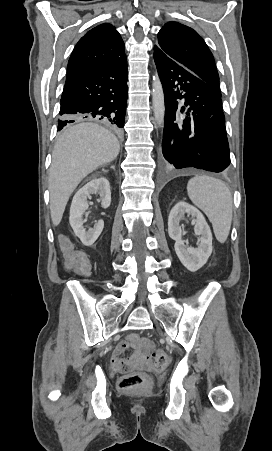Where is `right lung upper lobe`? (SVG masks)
<instances>
[{"mask_svg":"<svg viewBox=\"0 0 272 451\" xmlns=\"http://www.w3.org/2000/svg\"><path fill=\"white\" fill-rule=\"evenodd\" d=\"M124 42L110 24H101L86 33L76 44L67 69V77L107 65L125 55Z\"/></svg>","mask_w":272,"mask_h":451,"instance_id":"right-lung-upper-lobe-1","label":"right lung upper lobe"}]
</instances>
